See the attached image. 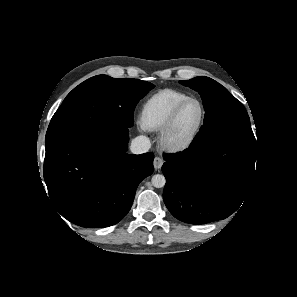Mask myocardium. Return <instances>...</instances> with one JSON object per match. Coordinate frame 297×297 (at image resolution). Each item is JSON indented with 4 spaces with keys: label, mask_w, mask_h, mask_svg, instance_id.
Masks as SVG:
<instances>
[{
    "label": "myocardium",
    "mask_w": 297,
    "mask_h": 297,
    "mask_svg": "<svg viewBox=\"0 0 297 297\" xmlns=\"http://www.w3.org/2000/svg\"><path fill=\"white\" fill-rule=\"evenodd\" d=\"M190 102H197L199 104L201 111H202L200 121H199L197 127L195 128V130L192 132V134L187 139H185L181 142H175L171 139L172 131L174 129V126L176 124V121H177L181 111ZM206 118H207V110H206V107L204 106L203 102L200 99L195 98V97H189V98L185 99L184 101H182L175 107V109L172 111L171 115L169 116L168 120L166 121L164 126L161 128L160 135H159V143H160L161 147L164 150H166L168 152H172V153H177V152H182V151L187 150L195 143V141L199 137V135L205 125Z\"/></svg>",
    "instance_id": "1"
}]
</instances>
